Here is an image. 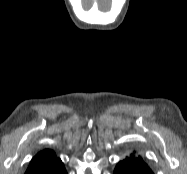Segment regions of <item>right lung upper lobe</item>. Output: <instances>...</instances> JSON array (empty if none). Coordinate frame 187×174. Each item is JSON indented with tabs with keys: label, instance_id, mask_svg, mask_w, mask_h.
<instances>
[{
	"label": "right lung upper lobe",
	"instance_id": "obj_1",
	"mask_svg": "<svg viewBox=\"0 0 187 174\" xmlns=\"http://www.w3.org/2000/svg\"><path fill=\"white\" fill-rule=\"evenodd\" d=\"M64 166L51 150L39 152L31 161L25 174H58Z\"/></svg>",
	"mask_w": 187,
	"mask_h": 174
}]
</instances>
